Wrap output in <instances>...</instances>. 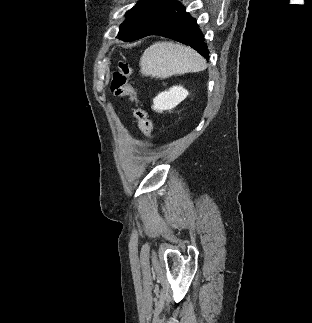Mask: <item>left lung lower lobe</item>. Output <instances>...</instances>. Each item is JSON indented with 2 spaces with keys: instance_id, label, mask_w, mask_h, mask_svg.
<instances>
[{
  "instance_id": "left-lung-lower-lobe-1",
  "label": "left lung lower lobe",
  "mask_w": 312,
  "mask_h": 323,
  "mask_svg": "<svg viewBox=\"0 0 312 323\" xmlns=\"http://www.w3.org/2000/svg\"><path fill=\"white\" fill-rule=\"evenodd\" d=\"M171 8L165 18L156 22L145 36L159 35L181 42L191 46L205 58H209V51L196 19L190 16L177 0H173Z\"/></svg>"
}]
</instances>
